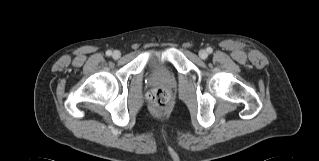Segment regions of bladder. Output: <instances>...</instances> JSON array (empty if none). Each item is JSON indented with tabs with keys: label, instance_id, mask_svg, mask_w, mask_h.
Returning a JSON list of instances; mask_svg holds the SVG:
<instances>
[{
	"label": "bladder",
	"instance_id": "31cf9c89",
	"mask_svg": "<svg viewBox=\"0 0 319 161\" xmlns=\"http://www.w3.org/2000/svg\"><path fill=\"white\" fill-rule=\"evenodd\" d=\"M147 63L152 67H163L166 65L163 58L158 54H152L148 56Z\"/></svg>",
	"mask_w": 319,
	"mask_h": 161
}]
</instances>
